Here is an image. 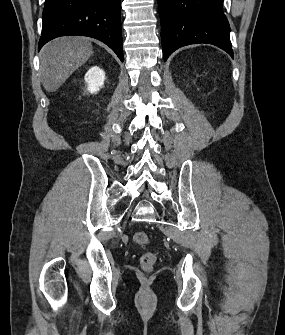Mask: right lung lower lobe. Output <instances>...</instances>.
<instances>
[{"mask_svg": "<svg viewBox=\"0 0 285 335\" xmlns=\"http://www.w3.org/2000/svg\"><path fill=\"white\" fill-rule=\"evenodd\" d=\"M121 0H45L38 50L68 35L88 36L107 44L124 61Z\"/></svg>", "mask_w": 285, "mask_h": 335, "instance_id": "right-lung-lower-lobe-1", "label": "right lung lower lobe"}]
</instances>
